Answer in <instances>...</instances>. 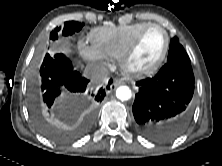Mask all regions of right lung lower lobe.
Instances as JSON below:
<instances>
[{
	"label": "right lung lower lobe",
	"mask_w": 222,
	"mask_h": 166,
	"mask_svg": "<svg viewBox=\"0 0 222 166\" xmlns=\"http://www.w3.org/2000/svg\"><path fill=\"white\" fill-rule=\"evenodd\" d=\"M40 86L38 97L34 98V106L43 107L47 112L56 110L61 104L80 97L87 88L89 80L73 70L71 61L62 53L45 55L40 69ZM112 80L109 81V85ZM109 85L106 89H110ZM106 89L100 88L94 100L101 102L106 95Z\"/></svg>",
	"instance_id": "98d812e1"
}]
</instances>
